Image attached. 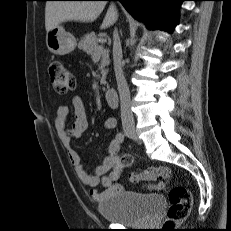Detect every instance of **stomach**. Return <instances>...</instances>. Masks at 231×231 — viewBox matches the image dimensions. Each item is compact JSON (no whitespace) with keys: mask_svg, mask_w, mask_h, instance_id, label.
<instances>
[{"mask_svg":"<svg viewBox=\"0 0 231 231\" xmlns=\"http://www.w3.org/2000/svg\"><path fill=\"white\" fill-rule=\"evenodd\" d=\"M46 45L53 54L65 55L75 49L76 38L61 25H57L47 32Z\"/></svg>","mask_w":231,"mask_h":231,"instance_id":"obj_1","label":"stomach"}]
</instances>
